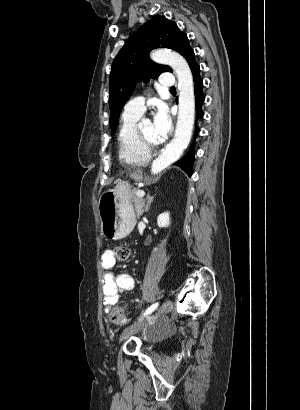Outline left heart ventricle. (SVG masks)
I'll use <instances>...</instances> for the list:
<instances>
[{"label":"left heart ventricle","mask_w":300,"mask_h":410,"mask_svg":"<svg viewBox=\"0 0 300 410\" xmlns=\"http://www.w3.org/2000/svg\"><path fill=\"white\" fill-rule=\"evenodd\" d=\"M141 129L142 132L144 133V135L146 136V138L153 142V143H157L156 139H155V135H154V129H153V123L151 121H145L142 123L141 125Z\"/></svg>","instance_id":"1"}]
</instances>
